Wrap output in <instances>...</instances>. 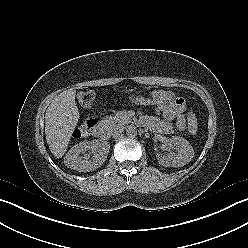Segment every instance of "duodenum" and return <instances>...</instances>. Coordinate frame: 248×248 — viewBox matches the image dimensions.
Returning a JSON list of instances; mask_svg holds the SVG:
<instances>
[{
	"mask_svg": "<svg viewBox=\"0 0 248 248\" xmlns=\"http://www.w3.org/2000/svg\"><path fill=\"white\" fill-rule=\"evenodd\" d=\"M106 125L104 122L102 121H98L96 123V126L93 130V134L95 137H98V138H104L105 135H106Z\"/></svg>",
	"mask_w": 248,
	"mask_h": 248,
	"instance_id": "1",
	"label": "duodenum"
}]
</instances>
